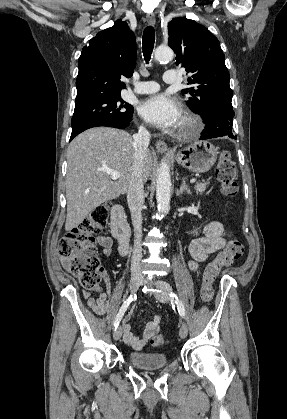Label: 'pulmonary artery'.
<instances>
[{"instance_id": "1", "label": "pulmonary artery", "mask_w": 287, "mask_h": 419, "mask_svg": "<svg viewBox=\"0 0 287 419\" xmlns=\"http://www.w3.org/2000/svg\"><path fill=\"white\" fill-rule=\"evenodd\" d=\"M163 80L167 84H173L177 81L176 72L174 70H167L163 75ZM159 84L155 81H142L135 84V92L138 94H149L158 91Z\"/></svg>"}]
</instances>
